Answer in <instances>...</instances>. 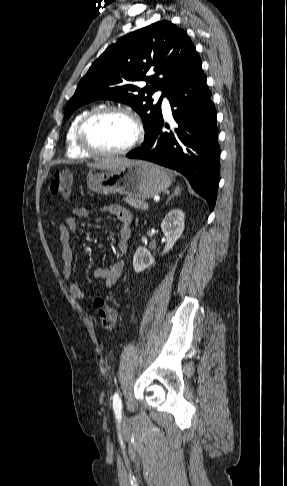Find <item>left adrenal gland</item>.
<instances>
[{
    "label": "left adrenal gland",
    "instance_id": "obj_1",
    "mask_svg": "<svg viewBox=\"0 0 287 486\" xmlns=\"http://www.w3.org/2000/svg\"><path fill=\"white\" fill-rule=\"evenodd\" d=\"M179 191H180V190H179V188H177V189L175 190L174 194H173V195H171V196H170V197L167 199L166 203H168V202L171 200V198H173L175 195H177V192H179Z\"/></svg>",
    "mask_w": 287,
    "mask_h": 486
}]
</instances>
